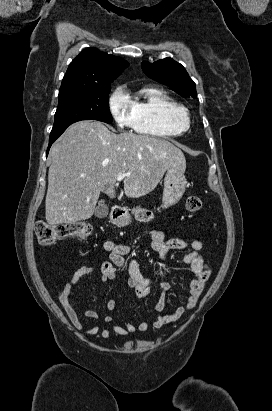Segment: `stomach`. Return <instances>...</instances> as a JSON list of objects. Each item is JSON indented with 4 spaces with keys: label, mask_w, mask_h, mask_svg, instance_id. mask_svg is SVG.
Instances as JSON below:
<instances>
[{
    "label": "stomach",
    "mask_w": 272,
    "mask_h": 411,
    "mask_svg": "<svg viewBox=\"0 0 272 411\" xmlns=\"http://www.w3.org/2000/svg\"><path fill=\"white\" fill-rule=\"evenodd\" d=\"M186 183V178L182 171L174 167L166 170L162 198L163 207L168 208L180 201L185 192ZM113 222L119 227H124L131 224L132 218L128 213H124L122 216L113 219Z\"/></svg>",
    "instance_id": "obj_1"
}]
</instances>
